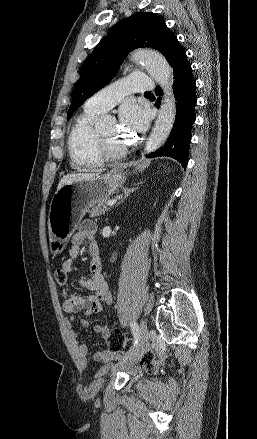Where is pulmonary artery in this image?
<instances>
[{
	"label": "pulmonary artery",
	"instance_id": "pulmonary-artery-1",
	"mask_svg": "<svg viewBox=\"0 0 257 439\" xmlns=\"http://www.w3.org/2000/svg\"><path fill=\"white\" fill-rule=\"evenodd\" d=\"M156 87L155 81L142 72L131 73L125 78L103 88L85 103V110L106 112L114 107L128 93H150Z\"/></svg>",
	"mask_w": 257,
	"mask_h": 439
}]
</instances>
